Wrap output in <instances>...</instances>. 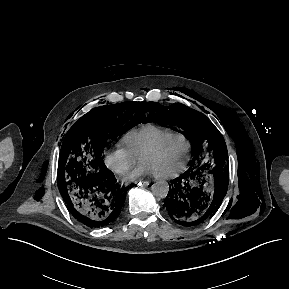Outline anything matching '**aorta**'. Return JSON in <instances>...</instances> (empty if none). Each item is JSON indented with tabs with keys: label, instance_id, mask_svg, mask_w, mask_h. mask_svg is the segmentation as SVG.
Masks as SVG:
<instances>
[{
	"label": "aorta",
	"instance_id": "aorta-1",
	"mask_svg": "<svg viewBox=\"0 0 289 289\" xmlns=\"http://www.w3.org/2000/svg\"><path fill=\"white\" fill-rule=\"evenodd\" d=\"M151 190L154 196L158 198H165L169 192V185L167 181L159 180L151 186Z\"/></svg>",
	"mask_w": 289,
	"mask_h": 289
}]
</instances>
